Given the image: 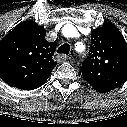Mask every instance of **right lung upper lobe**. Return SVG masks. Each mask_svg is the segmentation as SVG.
I'll return each instance as SVG.
<instances>
[{"mask_svg": "<svg viewBox=\"0 0 127 127\" xmlns=\"http://www.w3.org/2000/svg\"><path fill=\"white\" fill-rule=\"evenodd\" d=\"M45 29L26 20L0 41V78L9 86L32 90L42 86L56 66L55 42L45 39Z\"/></svg>", "mask_w": 127, "mask_h": 127, "instance_id": "right-lung-upper-lobe-1", "label": "right lung upper lobe"}]
</instances>
